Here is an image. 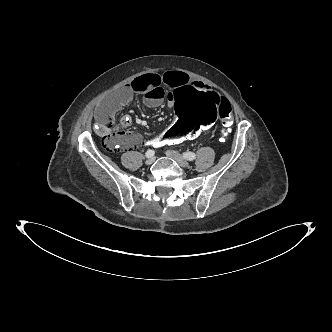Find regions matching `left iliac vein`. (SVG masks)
<instances>
[{
  "instance_id": "left-iliac-vein-1",
  "label": "left iliac vein",
  "mask_w": 332,
  "mask_h": 332,
  "mask_svg": "<svg viewBox=\"0 0 332 332\" xmlns=\"http://www.w3.org/2000/svg\"><path fill=\"white\" fill-rule=\"evenodd\" d=\"M166 155L173 159L180 167L183 168H188L189 167V162L184 159L178 152L173 151V150H168L166 152Z\"/></svg>"
}]
</instances>
